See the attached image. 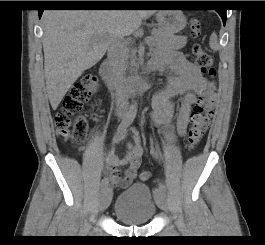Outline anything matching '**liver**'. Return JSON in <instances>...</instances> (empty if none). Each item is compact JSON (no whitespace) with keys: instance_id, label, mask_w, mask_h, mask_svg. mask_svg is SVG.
I'll return each instance as SVG.
<instances>
[{"instance_id":"obj_1","label":"liver","mask_w":265,"mask_h":245,"mask_svg":"<svg viewBox=\"0 0 265 245\" xmlns=\"http://www.w3.org/2000/svg\"><path fill=\"white\" fill-rule=\"evenodd\" d=\"M155 10H47L43 13L46 90L53 110L114 39L135 32Z\"/></svg>"}]
</instances>
